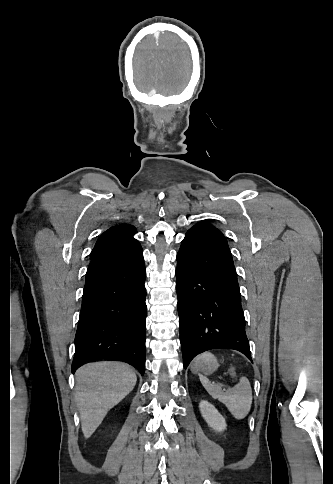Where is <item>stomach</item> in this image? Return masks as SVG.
Instances as JSON below:
<instances>
[{
  "label": "stomach",
  "mask_w": 333,
  "mask_h": 484,
  "mask_svg": "<svg viewBox=\"0 0 333 484\" xmlns=\"http://www.w3.org/2000/svg\"><path fill=\"white\" fill-rule=\"evenodd\" d=\"M218 366L216 358L211 353L205 352L195 358L191 365V370L194 373L201 371L205 375H209L216 371Z\"/></svg>",
  "instance_id": "1"
}]
</instances>
